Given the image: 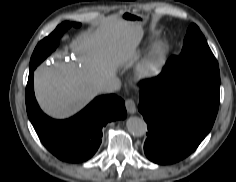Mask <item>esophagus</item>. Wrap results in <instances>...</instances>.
Here are the masks:
<instances>
[{"instance_id":"esophagus-1","label":"esophagus","mask_w":236,"mask_h":182,"mask_svg":"<svg viewBox=\"0 0 236 182\" xmlns=\"http://www.w3.org/2000/svg\"><path fill=\"white\" fill-rule=\"evenodd\" d=\"M125 106L129 114H135L137 112V107L133 99H127L125 101Z\"/></svg>"}]
</instances>
